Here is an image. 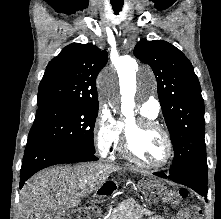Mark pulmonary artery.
<instances>
[{"mask_svg": "<svg viewBox=\"0 0 221 219\" xmlns=\"http://www.w3.org/2000/svg\"><path fill=\"white\" fill-rule=\"evenodd\" d=\"M160 111V103L154 97H149L141 106V112L156 117Z\"/></svg>", "mask_w": 221, "mask_h": 219, "instance_id": "1", "label": "pulmonary artery"}]
</instances>
